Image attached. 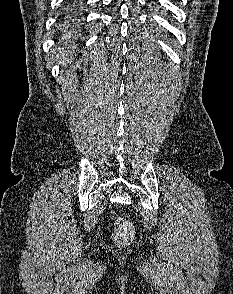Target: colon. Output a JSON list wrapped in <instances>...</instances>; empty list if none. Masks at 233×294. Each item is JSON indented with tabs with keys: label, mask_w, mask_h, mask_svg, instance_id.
Returning a JSON list of instances; mask_svg holds the SVG:
<instances>
[{
	"label": "colon",
	"mask_w": 233,
	"mask_h": 294,
	"mask_svg": "<svg viewBox=\"0 0 233 294\" xmlns=\"http://www.w3.org/2000/svg\"><path fill=\"white\" fill-rule=\"evenodd\" d=\"M114 241L119 246H126L130 244L134 237L133 225L126 219L121 217H114Z\"/></svg>",
	"instance_id": "5ec220e1"
}]
</instances>
